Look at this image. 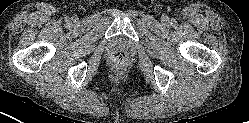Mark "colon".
Listing matches in <instances>:
<instances>
[{
	"instance_id": "5ec220e1",
	"label": "colon",
	"mask_w": 249,
	"mask_h": 123,
	"mask_svg": "<svg viewBox=\"0 0 249 123\" xmlns=\"http://www.w3.org/2000/svg\"><path fill=\"white\" fill-rule=\"evenodd\" d=\"M128 64L126 55L123 52H116L111 57V68L116 72L123 71Z\"/></svg>"
}]
</instances>
